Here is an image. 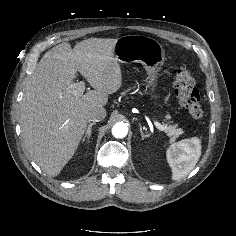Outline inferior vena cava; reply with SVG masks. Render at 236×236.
<instances>
[{"mask_svg":"<svg viewBox=\"0 0 236 236\" xmlns=\"http://www.w3.org/2000/svg\"><path fill=\"white\" fill-rule=\"evenodd\" d=\"M106 117V110L103 107H94L87 112L88 121L99 122Z\"/></svg>","mask_w":236,"mask_h":236,"instance_id":"inferior-vena-cava-1","label":"inferior vena cava"}]
</instances>
